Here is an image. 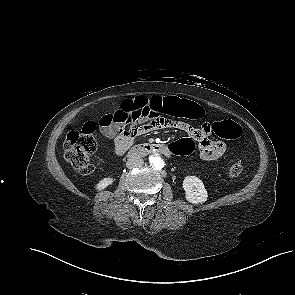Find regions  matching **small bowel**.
Here are the masks:
<instances>
[{
  "label": "small bowel",
  "instance_id": "1",
  "mask_svg": "<svg viewBox=\"0 0 295 295\" xmlns=\"http://www.w3.org/2000/svg\"><path fill=\"white\" fill-rule=\"evenodd\" d=\"M144 98V97H143ZM170 98L153 97L160 102L157 109H139L130 112L119 108L107 118L99 121L100 132L107 138L113 140L114 152L117 155L124 154L132 145L135 137L145 135L160 128L180 129L186 132L190 140L198 142L199 156L204 161H215L223 156L226 146L223 142L210 139L212 132L211 124L204 123L200 128H195L182 120H174L163 115L169 114L167 104ZM131 129H127V125Z\"/></svg>",
  "mask_w": 295,
  "mask_h": 295
}]
</instances>
